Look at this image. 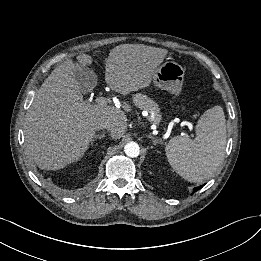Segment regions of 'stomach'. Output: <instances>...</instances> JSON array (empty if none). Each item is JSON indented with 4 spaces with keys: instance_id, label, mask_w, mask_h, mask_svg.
Returning a JSON list of instances; mask_svg holds the SVG:
<instances>
[{
    "instance_id": "obj_1",
    "label": "stomach",
    "mask_w": 261,
    "mask_h": 261,
    "mask_svg": "<svg viewBox=\"0 0 261 261\" xmlns=\"http://www.w3.org/2000/svg\"><path fill=\"white\" fill-rule=\"evenodd\" d=\"M184 75L185 70L180 64L166 61L157 69L152 80L156 87L178 96L182 90Z\"/></svg>"
}]
</instances>
